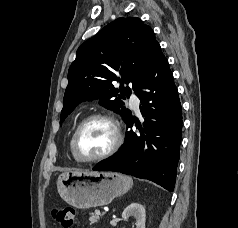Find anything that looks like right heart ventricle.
<instances>
[{
    "label": "right heart ventricle",
    "instance_id": "obj_1",
    "mask_svg": "<svg viewBox=\"0 0 238 228\" xmlns=\"http://www.w3.org/2000/svg\"><path fill=\"white\" fill-rule=\"evenodd\" d=\"M72 136H73V134L70 136V139H69V146H70V149H71Z\"/></svg>",
    "mask_w": 238,
    "mask_h": 228
}]
</instances>
